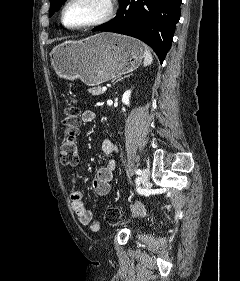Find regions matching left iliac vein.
<instances>
[{
  "label": "left iliac vein",
  "mask_w": 240,
  "mask_h": 281,
  "mask_svg": "<svg viewBox=\"0 0 240 281\" xmlns=\"http://www.w3.org/2000/svg\"><path fill=\"white\" fill-rule=\"evenodd\" d=\"M141 174H142L141 181L144 186H147L149 183V175H150L149 170L147 168H143Z\"/></svg>",
  "instance_id": "4c4485c4"
}]
</instances>
